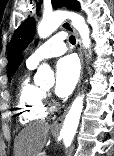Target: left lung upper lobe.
I'll return each instance as SVG.
<instances>
[{
	"label": "left lung upper lobe",
	"instance_id": "1",
	"mask_svg": "<svg viewBox=\"0 0 114 156\" xmlns=\"http://www.w3.org/2000/svg\"><path fill=\"white\" fill-rule=\"evenodd\" d=\"M52 6L54 8H60L66 6L72 10H79V3L75 0H52ZM39 9V5H38ZM35 34V20L30 17L26 19L15 31L8 48V65L7 73L10 79L9 72L13 63L19 53H21L27 45L32 41Z\"/></svg>",
	"mask_w": 114,
	"mask_h": 156
}]
</instances>
